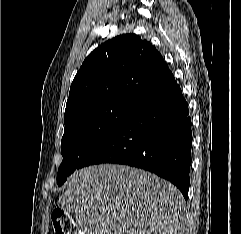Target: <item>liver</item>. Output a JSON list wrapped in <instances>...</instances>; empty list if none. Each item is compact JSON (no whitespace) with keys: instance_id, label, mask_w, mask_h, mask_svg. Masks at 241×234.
<instances>
[{"instance_id":"liver-1","label":"liver","mask_w":241,"mask_h":234,"mask_svg":"<svg viewBox=\"0 0 241 234\" xmlns=\"http://www.w3.org/2000/svg\"><path fill=\"white\" fill-rule=\"evenodd\" d=\"M61 208L82 234H178L185 202L171 183L141 169L100 164L75 171Z\"/></svg>"}]
</instances>
